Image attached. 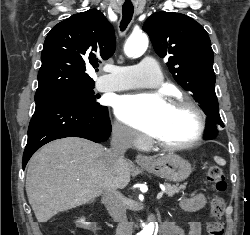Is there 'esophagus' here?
Segmentation results:
<instances>
[{
	"label": "esophagus",
	"instance_id": "esophagus-1",
	"mask_svg": "<svg viewBox=\"0 0 250 235\" xmlns=\"http://www.w3.org/2000/svg\"><path fill=\"white\" fill-rule=\"evenodd\" d=\"M136 162L142 164V163H149L151 162V160L142 154H137Z\"/></svg>",
	"mask_w": 250,
	"mask_h": 235
}]
</instances>
